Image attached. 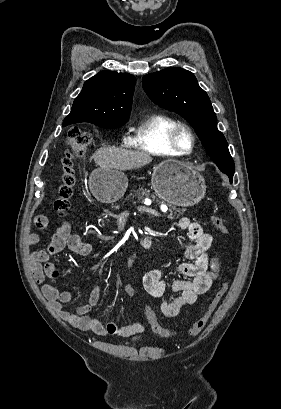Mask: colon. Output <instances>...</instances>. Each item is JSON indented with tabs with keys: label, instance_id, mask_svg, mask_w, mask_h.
<instances>
[{
	"label": "colon",
	"instance_id": "colon-1",
	"mask_svg": "<svg viewBox=\"0 0 281 409\" xmlns=\"http://www.w3.org/2000/svg\"><path fill=\"white\" fill-rule=\"evenodd\" d=\"M89 143L90 136L86 131L79 128H74L69 132L66 141V152L61 159V185L58 189V198L54 202V208L61 217L67 214V211L70 207L72 187L75 182L73 172L74 160L85 153ZM212 222L218 231L223 234H227L228 229L224 224V220L222 219V217L213 216ZM222 295L223 291L221 290L217 294L215 300L211 303L208 311L204 314V316L195 321L187 330V333L189 335H196L206 327L208 319L211 317L212 313L217 307V304L220 301ZM151 328L155 333L160 334L162 337H167L170 335V332H172L170 330L162 329L157 323L152 324Z\"/></svg>",
	"mask_w": 281,
	"mask_h": 409
}]
</instances>
